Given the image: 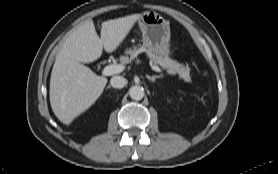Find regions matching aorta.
I'll return each mask as SVG.
<instances>
[{
  "label": "aorta",
  "mask_w": 278,
  "mask_h": 174,
  "mask_svg": "<svg viewBox=\"0 0 278 174\" xmlns=\"http://www.w3.org/2000/svg\"><path fill=\"white\" fill-rule=\"evenodd\" d=\"M129 95L134 100H141L145 95L144 89L142 86L134 85V86L130 87Z\"/></svg>",
  "instance_id": "1"
}]
</instances>
